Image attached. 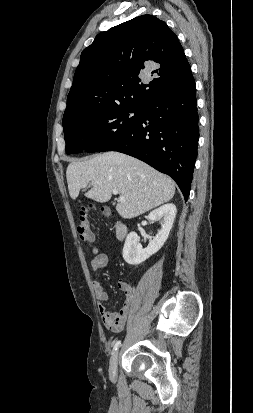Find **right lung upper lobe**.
I'll return each mask as SVG.
<instances>
[{
  "mask_svg": "<svg viewBox=\"0 0 253 413\" xmlns=\"http://www.w3.org/2000/svg\"><path fill=\"white\" fill-rule=\"evenodd\" d=\"M158 67L148 75L150 64ZM192 77L177 36L152 15L101 32L81 53L62 124L109 109L140 108Z\"/></svg>",
  "mask_w": 253,
  "mask_h": 413,
  "instance_id": "right-lung-upper-lobe-1",
  "label": "right lung upper lobe"
}]
</instances>
